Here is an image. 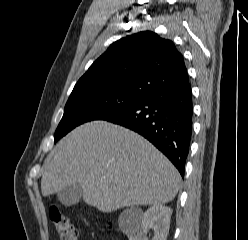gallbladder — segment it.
<instances>
[{
	"mask_svg": "<svg viewBox=\"0 0 248 240\" xmlns=\"http://www.w3.org/2000/svg\"><path fill=\"white\" fill-rule=\"evenodd\" d=\"M83 194L82 188L76 185H70L61 189L57 193L58 200L65 206H72L79 202Z\"/></svg>",
	"mask_w": 248,
	"mask_h": 240,
	"instance_id": "1",
	"label": "gallbladder"
}]
</instances>
